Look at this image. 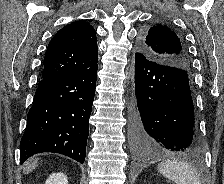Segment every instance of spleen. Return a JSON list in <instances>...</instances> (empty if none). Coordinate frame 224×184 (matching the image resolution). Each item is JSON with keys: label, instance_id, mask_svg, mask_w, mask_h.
Returning a JSON list of instances; mask_svg holds the SVG:
<instances>
[{"label": "spleen", "instance_id": "3e777b00", "mask_svg": "<svg viewBox=\"0 0 224 184\" xmlns=\"http://www.w3.org/2000/svg\"><path fill=\"white\" fill-rule=\"evenodd\" d=\"M158 171L176 184H201L198 173L186 162L167 160L158 165Z\"/></svg>", "mask_w": 224, "mask_h": 184}]
</instances>
